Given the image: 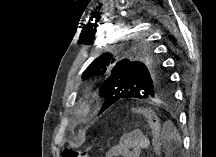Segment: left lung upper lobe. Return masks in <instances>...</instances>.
Listing matches in <instances>:
<instances>
[{
	"label": "left lung upper lobe",
	"mask_w": 216,
	"mask_h": 157,
	"mask_svg": "<svg viewBox=\"0 0 216 157\" xmlns=\"http://www.w3.org/2000/svg\"><path fill=\"white\" fill-rule=\"evenodd\" d=\"M131 39H112L109 49L95 59L83 72L82 79L108 76L100 89L104 104L125 99L154 100L167 98L171 93V80L159 59L144 51V35H131Z\"/></svg>",
	"instance_id": "1"
}]
</instances>
